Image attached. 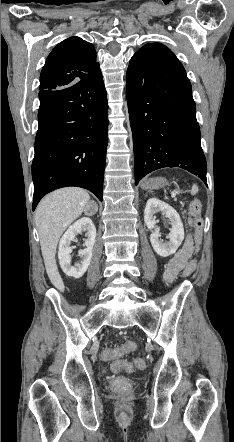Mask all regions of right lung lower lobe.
Returning <instances> with one entry per match:
<instances>
[{"label": "right lung lower lobe", "instance_id": "right-lung-lower-lobe-1", "mask_svg": "<svg viewBox=\"0 0 234 442\" xmlns=\"http://www.w3.org/2000/svg\"><path fill=\"white\" fill-rule=\"evenodd\" d=\"M32 163L33 210L47 193L66 186L102 201L108 143V104L100 68L77 83L40 90Z\"/></svg>", "mask_w": 234, "mask_h": 442}]
</instances>
